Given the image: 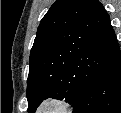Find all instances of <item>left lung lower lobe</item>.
<instances>
[{
	"instance_id": "left-lung-lower-lobe-1",
	"label": "left lung lower lobe",
	"mask_w": 121,
	"mask_h": 113,
	"mask_svg": "<svg viewBox=\"0 0 121 113\" xmlns=\"http://www.w3.org/2000/svg\"><path fill=\"white\" fill-rule=\"evenodd\" d=\"M73 113H121V51L118 42L78 97Z\"/></svg>"
}]
</instances>
